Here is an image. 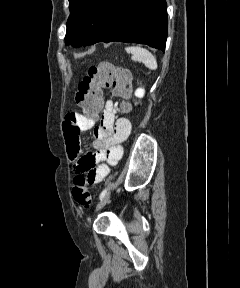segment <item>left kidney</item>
Listing matches in <instances>:
<instances>
[{
    "label": "left kidney",
    "mask_w": 240,
    "mask_h": 288,
    "mask_svg": "<svg viewBox=\"0 0 240 288\" xmlns=\"http://www.w3.org/2000/svg\"><path fill=\"white\" fill-rule=\"evenodd\" d=\"M145 94V90L142 89V88H138L136 91H135V96L138 97V98H142Z\"/></svg>",
    "instance_id": "5707ae66"
}]
</instances>
